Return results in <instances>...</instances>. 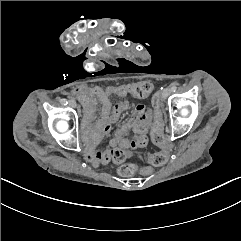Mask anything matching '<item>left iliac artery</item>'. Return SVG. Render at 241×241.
I'll list each match as a JSON object with an SVG mask.
<instances>
[{
    "label": "left iliac artery",
    "instance_id": "left-iliac-artery-1",
    "mask_svg": "<svg viewBox=\"0 0 241 241\" xmlns=\"http://www.w3.org/2000/svg\"><path fill=\"white\" fill-rule=\"evenodd\" d=\"M176 89H177V86H176L175 84H173V85L171 86V91H172V92H175Z\"/></svg>",
    "mask_w": 241,
    "mask_h": 241
}]
</instances>
